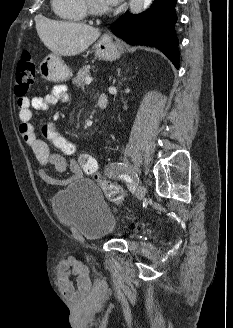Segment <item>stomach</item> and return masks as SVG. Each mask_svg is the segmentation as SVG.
Here are the masks:
<instances>
[{
  "label": "stomach",
  "mask_w": 233,
  "mask_h": 328,
  "mask_svg": "<svg viewBox=\"0 0 233 328\" xmlns=\"http://www.w3.org/2000/svg\"><path fill=\"white\" fill-rule=\"evenodd\" d=\"M95 54L105 60H116L124 50L119 41H115L109 34L103 35L94 45ZM39 72L45 80L59 82L70 78V69L56 54L47 55L40 63Z\"/></svg>",
  "instance_id": "stomach-1"
}]
</instances>
